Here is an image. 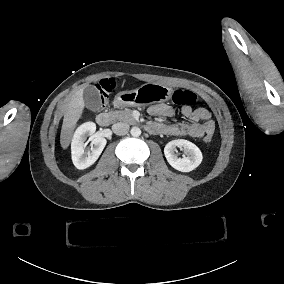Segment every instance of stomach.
Masks as SVG:
<instances>
[{
    "instance_id": "0dacf381",
    "label": "stomach",
    "mask_w": 284,
    "mask_h": 284,
    "mask_svg": "<svg viewBox=\"0 0 284 284\" xmlns=\"http://www.w3.org/2000/svg\"><path fill=\"white\" fill-rule=\"evenodd\" d=\"M173 89L160 83H145L140 87L119 92L114 99L117 107L146 106L168 101Z\"/></svg>"
}]
</instances>
